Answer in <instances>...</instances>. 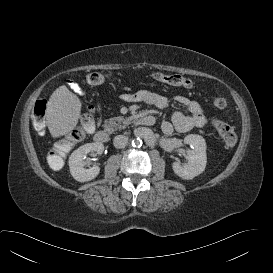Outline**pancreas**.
Instances as JSON below:
<instances>
[{
	"label": "pancreas",
	"mask_w": 273,
	"mask_h": 273,
	"mask_svg": "<svg viewBox=\"0 0 273 273\" xmlns=\"http://www.w3.org/2000/svg\"><path fill=\"white\" fill-rule=\"evenodd\" d=\"M133 121V117L124 118L123 116L113 117L104 122V129L110 133L122 129Z\"/></svg>",
	"instance_id": "1"
}]
</instances>
